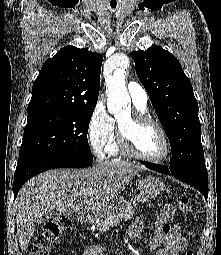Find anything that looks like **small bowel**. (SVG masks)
Masks as SVG:
<instances>
[{
	"label": "small bowel",
	"mask_w": 221,
	"mask_h": 255,
	"mask_svg": "<svg viewBox=\"0 0 221 255\" xmlns=\"http://www.w3.org/2000/svg\"><path fill=\"white\" fill-rule=\"evenodd\" d=\"M142 220L135 219L127 228L126 234L129 237H137L142 230ZM188 241L181 234L177 225H168L166 230L157 228L149 241V247L154 255H182L187 248ZM105 248L101 245H91L83 251V255H104Z\"/></svg>",
	"instance_id": "small-bowel-1"
}]
</instances>
